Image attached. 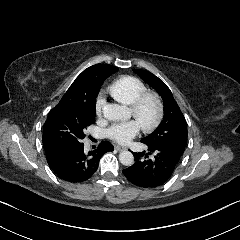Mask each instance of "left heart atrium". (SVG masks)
<instances>
[{"instance_id": "left-heart-atrium-1", "label": "left heart atrium", "mask_w": 240, "mask_h": 240, "mask_svg": "<svg viewBox=\"0 0 240 240\" xmlns=\"http://www.w3.org/2000/svg\"><path fill=\"white\" fill-rule=\"evenodd\" d=\"M139 130L140 124L132 120L112 126L108 130L107 136L119 144H127L139 133Z\"/></svg>"}]
</instances>
